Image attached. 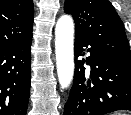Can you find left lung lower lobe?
<instances>
[{"instance_id": "0a47b994", "label": "left lung lower lobe", "mask_w": 131, "mask_h": 115, "mask_svg": "<svg viewBox=\"0 0 131 115\" xmlns=\"http://www.w3.org/2000/svg\"><path fill=\"white\" fill-rule=\"evenodd\" d=\"M90 56L86 63L91 71L85 74L83 47ZM75 73L73 86L64 108V115H105L117 110H131V69L108 58L89 39L75 34Z\"/></svg>"}]
</instances>
